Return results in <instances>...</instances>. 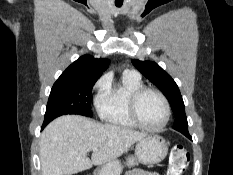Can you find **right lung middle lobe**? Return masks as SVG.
I'll return each mask as SVG.
<instances>
[{
  "mask_svg": "<svg viewBox=\"0 0 233 175\" xmlns=\"http://www.w3.org/2000/svg\"><path fill=\"white\" fill-rule=\"evenodd\" d=\"M96 81L97 79L55 82L42 127L61 115L79 114L92 117L90 97Z\"/></svg>",
  "mask_w": 233,
  "mask_h": 175,
  "instance_id": "dd1d6c3e",
  "label": "right lung middle lobe"
}]
</instances>
